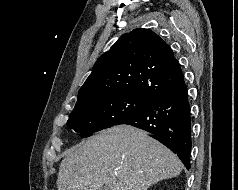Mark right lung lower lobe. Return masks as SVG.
I'll use <instances>...</instances> for the list:
<instances>
[{
  "instance_id": "1",
  "label": "right lung lower lobe",
  "mask_w": 238,
  "mask_h": 190,
  "mask_svg": "<svg viewBox=\"0 0 238 190\" xmlns=\"http://www.w3.org/2000/svg\"><path fill=\"white\" fill-rule=\"evenodd\" d=\"M118 124H128L153 134V137L178 155L190 168L191 117L184 77L141 111Z\"/></svg>"
}]
</instances>
